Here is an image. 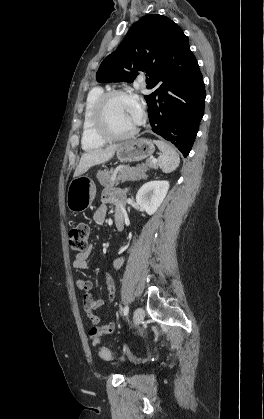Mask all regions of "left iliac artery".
<instances>
[{
	"label": "left iliac artery",
	"mask_w": 264,
	"mask_h": 419,
	"mask_svg": "<svg viewBox=\"0 0 264 419\" xmlns=\"http://www.w3.org/2000/svg\"><path fill=\"white\" fill-rule=\"evenodd\" d=\"M128 312H129V307L128 306H125L124 309H123L124 315L127 316L128 315Z\"/></svg>",
	"instance_id": "1"
}]
</instances>
